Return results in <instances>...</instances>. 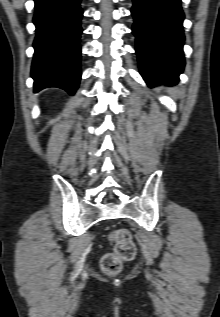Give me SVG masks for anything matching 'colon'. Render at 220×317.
<instances>
[{
	"instance_id": "colon-1",
	"label": "colon",
	"mask_w": 220,
	"mask_h": 317,
	"mask_svg": "<svg viewBox=\"0 0 220 317\" xmlns=\"http://www.w3.org/2000/svg\"><path fill=\"white\" fill-rule=\"evenodd\" d=\"M115 244L114 252L106 254L102 259V270L108 275L117 274L124 262L131 261L136 253V247L131 234L126 229H117L112 233Z\"/></svg>"
}]
</instances>
